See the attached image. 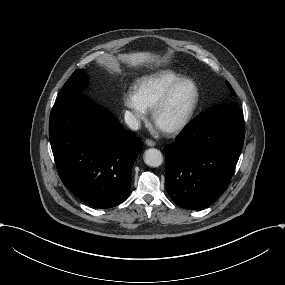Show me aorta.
<instances>
[{
  "mask_svg": "<svg viewBox=\"0 0 285 285\" xmlns=\"http://www.w3.org/2000/svg\"><path fill=\"white\" fill-rule=\"evenodd\" d=\"M144 162L151 167H159L163 162L162 153L155 148H150L145 151Z\"/></svg>",
  "mask_w": 285,
  "mask_h": 285,
  "instance_id": "1",
  "label": "aorta"
}]
</instances>
